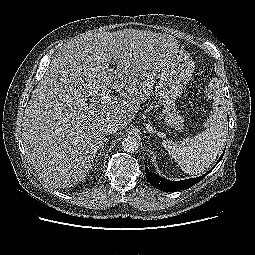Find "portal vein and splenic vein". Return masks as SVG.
<instances>
[{
	"mask_svg": "<svg viewBox=\"0 0 255 255\" xmlns=\"http://www.w3.org/2000/svg\"><path fill=\"white\" fill-rule=\"evenodd\" d=\"M112 99V97H111V95L110 94H108V95H106L104 98H103V104H106V103H108L110 100Z\"/></svg>",
	"mask_w": 255,
	"mask_h": 255,
	"instance_id": "obj_1",
	"label": "portal vein and splenic vein"
}]
</instances>
